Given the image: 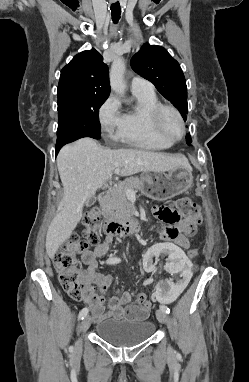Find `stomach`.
<instances>
[{
    "label": "stomach",
    "mask_w": 249,
    "mask_h": 382,
    "mask_svg": "<svg viewBox=\"0 0 249 382\" xmlns=\"http://www.w3.org/2000/svg\"><path fill=\"white\" fill-rule=\"evenodd\" d=\"M140 191L147 197L164 201L188 190L193 183L191 168L177 167L165 172H143Z\"/></svg>",
    "instance_id": "0dacf381"
}]
</instances>
